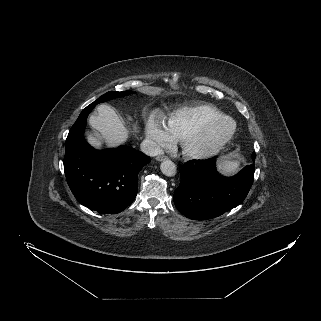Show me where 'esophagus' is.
Masks as SVG:
<instances>
[{
  "label": "esophagus",
  "instance_id": "1",
  "mask_svg": "<svg viewBox=\"0 0 321 321\" xmlns=\"http://www.w3.org/2000/svg\"><path fill=\"white\" fill-rule=\"evenodd\" d=\"M157 161H164V160H167L168 157L165 156V155H159L155 158Z\"/></svg>",
  "mask_w": 321,
  "mask_h": 321
}]
</instances>
